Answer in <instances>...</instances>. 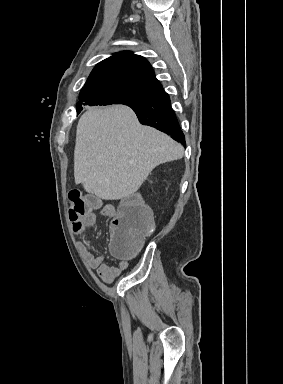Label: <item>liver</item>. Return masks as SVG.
I'll return each mask as SVG.
<instances>
[{
  "label": "liver",
  "instance_id": "obj_1",
  "mask_svg": "<svg viewBox=\"0 0 283 384\" xmlns=\"http://www.w3.org/2000/svg\"><path fill=\"white\" fill-rule=\"evenodd\" d=\"M183 156L181 144L141 126L128 106L89 108L76 130L75 184L102 200H122L137 192L156 166Z\"/></svg>",
  "mask_w": 283,
  "mask_h": 384
}]
</instances>
